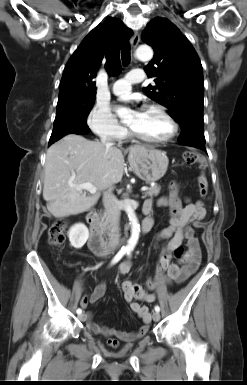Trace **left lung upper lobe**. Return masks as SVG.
Masks as SVG:
<instances>
[{
  "instance_id": "left-lung-upper-lobe-1",
  "label": "left lung upper lobe",
  "mask_w": 247,
  "mask_h": 385,
  "mask_svg": "<svg viewBox=\"0 0 247 385\" xmlns=\"http://www.w3.org/2000/svg\"><path fill=\"white\" fill-rule=\"evenodd\" d=\"M142 39L154 50L144 70L156 83L143 91L167 107L180 126L203 122V70L191 43L171 21L161 17L147 24Z\"/></svg>"
}]
</instances>
